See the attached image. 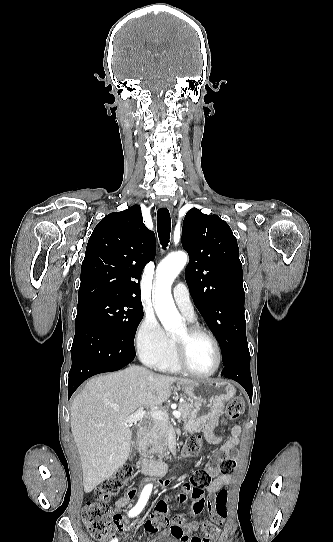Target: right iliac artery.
<instances>
[{"instance_id":"obj_1","label":"right iliac artery","mask_w":333,"mask_h":542,"mask_svg":"<svg viewBox=\"0 0 333 542\" xmlns=\"http://www.w3.org/2000/svg\"><path fill=\"white\" fill-rule=\"evenodd\" d=\"M151 490H152V485L151 484L144 487V489H143V491L141 493V496L139 498L138 503L136 504L135 507H133V509H131L129 511V513H128L129 517H135L142 511V509L144 508V506L147 503V500H148V498L150 496ZM111 542H118V540L114 539Z\"/></svg>"}]
</instances>
